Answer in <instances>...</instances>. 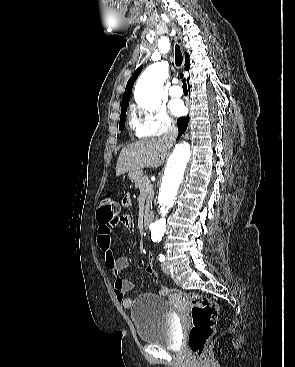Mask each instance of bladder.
Here are the masks:
<instances>
[{
	"instance_id": "bladder-1",
	"label": "bladder",
	"mask_w": 295,
	"mask_h": 367,
	"mask_svg": "<svg viewBox=\"0 0 295 367\" xmlns=\"http://www.w3.org/2000/svg\"><path fill=\"white\" fill-rule=\"evenodd\" d=\"M131 318L142 342L166 349L176 345L177 327L164 297L153 293L137 296L131 305Z\"/></svg>"
}]
</instances>
